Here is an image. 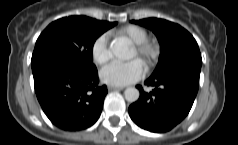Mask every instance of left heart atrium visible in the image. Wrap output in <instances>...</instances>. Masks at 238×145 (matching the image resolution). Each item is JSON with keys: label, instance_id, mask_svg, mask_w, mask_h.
Masks as SVG:
<instances>
[{"label": "left heart atrium", "instance_id": "39dd6f15", "mask_svg": "<svg viewBox=\"0 0 238 145\" xmlns=\"http://www.w3.org/2000/svg\"><path fill=\"white\" fill-rule=\"evenodd\" d=\"M143 75V65L139 60L113 62L100 71L102 82L112 86H125L139 80Z\"/></svg>", "mask_w": 238, "mask_h": 145}]
</instances>
